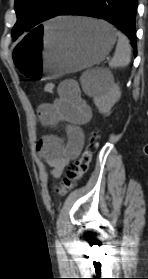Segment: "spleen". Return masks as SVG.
I'll return each mask as SVG.
<instances>
[{"label": "spleen", "instance_id": "3e777b00", "mask_svg": "<svg viewBox=\"0 0 148 279\" xmlns=\"http://www.w3.org/2000/svg\"><path fill=\"white\" fill-rule=\"evenodd\" d=\"M116 34L118 36V42L115 54L109 63L111 68L125 67L130 63L131 59V47L128 38L121 32H117ZM96 73L97 70L88 71L81 77L82 86L90 95H97L104 91Z\"/></svg>", "mask_w": 148, "mask_h": 279}]
</instances>
